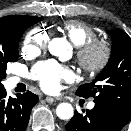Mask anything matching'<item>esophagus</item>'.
Instances as JSON below:
<instances>
[{"label": "esophagus", "mask_w": 131, "mask_h": 131, "mask_svg": "<svg viewBox=\"0 0 131 131\" xmlns=\"http://www.w3.org/2000/svg\"><path fill=\"white\" fill-rule=\"evenodd\" d=\"M56 100H59V99L53 98V97H46V98H45V101L48 102V103H53V102H55Z\"/></svg>", "instance_id": "34e87169"}]
</instances>
